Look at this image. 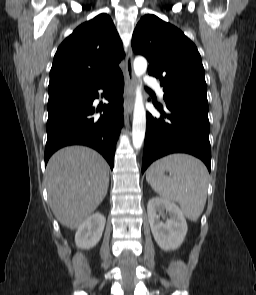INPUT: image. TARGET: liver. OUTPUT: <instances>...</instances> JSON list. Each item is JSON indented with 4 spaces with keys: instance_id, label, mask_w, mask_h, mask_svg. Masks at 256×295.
I'll return each mask as SVG.
<instances>
[{
    "instance_id": "6515ba94",
    "label": "liver",
    "mask_w": 256,
    "mask_h": 295,
    "mask_svg": "<svg viewBox=\"0 0 256 295\" xmlns=\"http://www.w3.org/2000/svg\"><path fill=\"white\" fill-rule=\"evenodd\" d=\"M46 182L54 216L63 226L76 229L105 198L109 166L90 148L65 147L48 161Z\"/></svg>"
}]
</instances>
